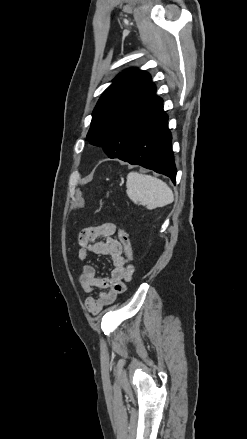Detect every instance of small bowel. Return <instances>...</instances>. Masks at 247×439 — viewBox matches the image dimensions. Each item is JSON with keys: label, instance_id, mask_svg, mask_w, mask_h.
Returning a JSON list of instances; mask_svg holds the SVG:
<instances>
[{"label": "small bowel", "instance_id": "c3829d8e", "mask_svg": "<svg viewBox=\"0 0 247 439\" xmlns=\"http://www.w3.org/2000/svg\"><path fill=\"white\" fill-rule=\"evenodd\" d=\"M111 225L113 223L87 227L78 237L80 260H88L92 253L105 255L110 258L113 266L110 278L98 277L92 265L83 267L79 277L83 290L86 293H92L95 289L103 290L97 297L90 296L85 300V305L92 314H97L105 306L113 303L117 296L126 290L127 282L134 272V266L126 262L122 244L113 237L115 232Z\"/></svg>", "mask_w": 247, "mask_h": 439}]
</instances>
